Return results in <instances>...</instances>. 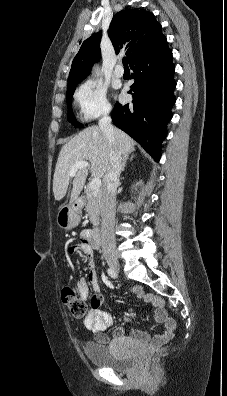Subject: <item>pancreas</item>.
Segmentation results:
<instances>
[{
    "label": "pancreas",
    "mask_w": 227,
    "mask_h": 396,
    "mask_svg": "<svg viewBox=\"0 0 227 396\" xmlns=\"http://www.w3.org/2000/svg\"><path fill=\"white\" fill-rule=\"evenodd\" d=\"M86 206L85 211L90 217V222L94 226L99 225V215L101 213V192H97L88 188L86 190Z\"/></svg>",
    "instance_id": "pancreas-1"
}]
</instances>
